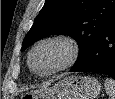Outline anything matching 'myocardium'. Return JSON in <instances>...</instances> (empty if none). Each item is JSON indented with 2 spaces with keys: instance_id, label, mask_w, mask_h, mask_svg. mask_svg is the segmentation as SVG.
<instances>
[{
  "instance_id": "myocardium-1",
  "label": "myocardium",
  "mask_w": 115,
  "mask_h": 99,
  "mask_svg": "<svg viewBox=\"0 0 115 99\" xmlns=\"http://www.w3.org/2000/svg\"><path fill=\"white\" fill-rule=\"evenodd\" d=\"M47 43H62L68 48L69 54L66 61L63 64H61L60 66L48 72L42 73V72L37 71L34 68L33 55L40 46ZM79 55H80V45L75 38L67 34L50 35L39 40L33 45V47L31 48L28 54V65H29L30 70L36 75L41 76V77H48L73 66L75 62L77 61V59L79 58Z\"/></svg>"
}]
</instances>
